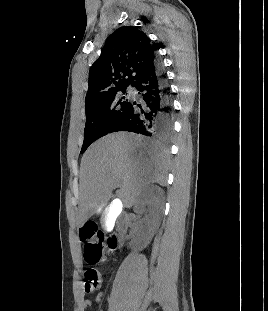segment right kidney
Returning <instances> with one entry per match:
<instances>
[{"label": "right kidney", "mask_w": 268, "mask_h": 311, "mask_svg": "<svg viewBox=\"0 0 268 311\" xmlns=\"http://www.w3.org/2000/svg\"><path fill=\"white\" fill-rule=\"evenodd\" d=\"M164 191L157 185L147 187L138 197L134 211L144 215V221L139 227L133 245L145 248L156 233L164 212Z\"/></svg>", "instance_id": "ca27d5eb"}]
</instances>
